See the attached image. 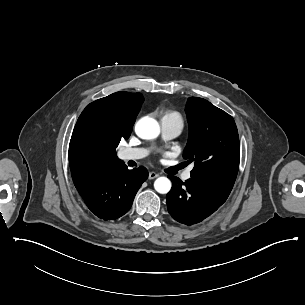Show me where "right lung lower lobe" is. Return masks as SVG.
<instances>
[{
    "label": "right lung lower lobe",
    "instance_id": "right-lung-lower-lobe-1",
    "mask_svg": "<svg viewBox=\"0 0 305 305\" xmlns=\"http://www.w3.org/2000/svg\"><path fill=\"white\" fill-rule=\"evenodd\" d=\"M147 178L146 168L128 170L125 164H120L76 188L97 217L115 220L128 212L138 189Z\"/></svg>",
    "mask_w": 305,
    "mask_h": 305
}]
</instances>
